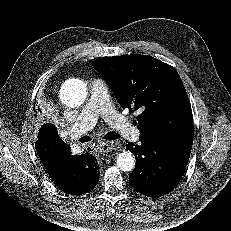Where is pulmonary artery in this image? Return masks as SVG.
<instances>
[{
  "label": "pulmonary artery",
  "mask_w": 231,
  "mask_h": 231,
  "mask_svg": "<svg viewBox=\"0 0 231 231\" xmlns=\"http://www.w3.org/2000/svg\"><path fill=\"white\" fill-rule=\"evenodd\" d=\"M99 117H103L122 137L132 141L139 140L140 131L130 124L128 118L119 114L112 105L106 82L102 79H94L91 83L88 103L77 121L71 126L70 137L76 139L93 128Z\"/></svg>",
  "instance_id": "pulmonary-artery-1"
}]
</instances>
